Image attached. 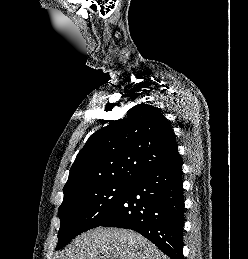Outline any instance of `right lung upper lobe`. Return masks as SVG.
I'll return each instance as SVG.
<instances>
[{
  "instance_id": "obj_1",
  "label": "right lung upper lobe",
  "mask_w": 248,
  "mask_h": 259,
  "mask_svg": "<svg viewBox=\"0 0 248 259\" xmlns=\"http://www.w3.org/2000/svg\"><path fill=\"white\" fill-rule=\"evenodd\" d=\"M179 158L169 121L152 105L138 104L128 116L97 130L78 153L63 191L106 181H132Z\"/></svg>"
}]
</instances>
